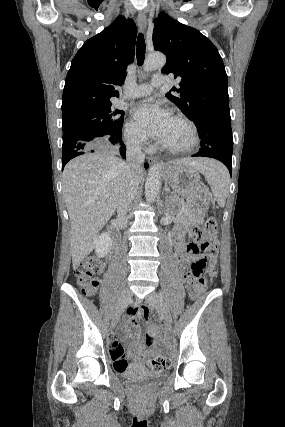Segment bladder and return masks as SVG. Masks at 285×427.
Masks as SVG:
<instances>
[{
    "instance_id": "bladder-1",
    "label": "bladder",
    "mask_w": 285,
    "mask_h": 427,
    "mask_svg": "<svg viewBox=\"0 0 285 427\" xmlns=\"http://www.w3.org/2000/svg\"><path fill=\"white\" fill-rule=\"evenodd\" d=\"M116 375L130 384L138 385L144 382H162L167 377V372L163 370L151 371L138 364H129L122 370H116Z\"/></svg>"
}]
</instances>
